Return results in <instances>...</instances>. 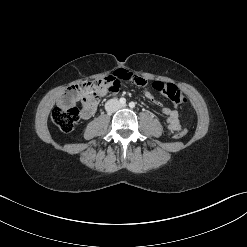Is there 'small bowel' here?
<instances>
[{
	"label": "small bowel",
	"instance_id": "obj_1",
	"mask_svg": "<svg viewBox=\"0 0 247 247\" xmlns=\"http://www.w3.org/2000/svg\"><path fill=\"white\" fill-rule=\"evenodd\" d=\"M112 76L119 78L120 80H129V81H133L136 78L135 75H133L130 71L125 69L116 70ZM143 81H144L143 83L138 85L144 87L146 85V81L144 79ZM117 90L118 88L117 89L104 88L100 91L99 96H105L109 93H115ZM144 95L148 100L151 101L154 100L153 95L149 91L144 90ZM95 111H96V104L90 106L83 102V107L81 112L82 118L89 119L94 115ZM162 114L167 118V127L170 133L178 131L181 128L179 114L176 110L168 107H163Z\"/></svg>",
	"mask_w": 247,
	"mask_h": 247
}]
</instances>
